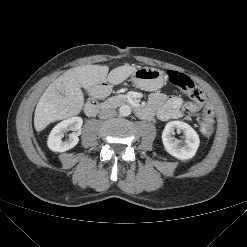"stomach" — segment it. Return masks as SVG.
Here are the masks:
<instances>
[{"label": "stomach", "instance_id": "0dacf381", "mask_svg": "<svg viewBox=\"0 0 247 247\" xmlns=\"http://www.w3.org/2000/svg\"><path fill=\"white\" fill-rule=\"evenodd\" d=\"M131 80L135 86L144 90H157L165 81L164 72L152 67H140L136 69Z\"/></svg>", "mask_w": 247, "mask_h": 247}]
</instances>
